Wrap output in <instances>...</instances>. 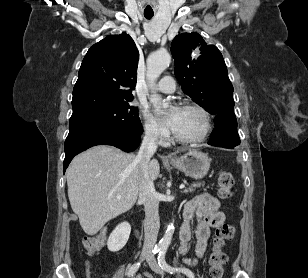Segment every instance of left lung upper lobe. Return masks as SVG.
<instances>
[{"instance_id": "5c2ea615", "label": "left lung upper lobe", "mask_w": 308, "mask_h": 278, "mask_svg": "<svg viewBox=\"0 0 308 278\" xmlns=\"http://www.w3.org/2000/svg\"><path fill=\"white\" fill-rule=\"evenodd\" d=\"M175 76L182 90L211 114L234 109L233 86L218 48L198 33H183L171 44Z\"/></svg>"}]
</instances>
